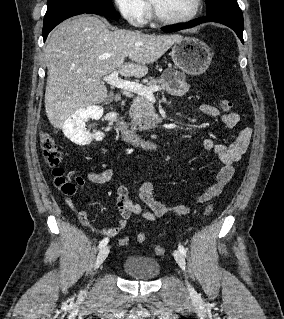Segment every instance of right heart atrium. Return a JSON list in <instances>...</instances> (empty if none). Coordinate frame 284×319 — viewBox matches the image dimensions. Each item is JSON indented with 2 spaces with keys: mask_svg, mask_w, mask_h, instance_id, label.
Segmentation results:
<instances>
[{
  "mask_svg": "<svg viewBox=\"0 0 284 319\" xmlns=\"http://www.w3.org/2000/svg\"><path fill=\"white\" fill-rule=\"evenodd\" d=\"M120 15L131 25L141 26L147 19L149 5L145 0H114Z\"/></svg>",
  "mask_w": 284,
  "mask_h": 319,
  "instance_id": "obj_1",
  "label": "right heart atrium"
}]
</instances>
